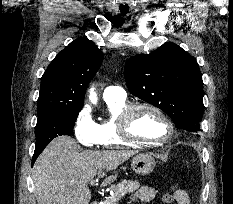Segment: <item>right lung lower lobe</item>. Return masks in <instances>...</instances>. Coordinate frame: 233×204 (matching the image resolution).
Returning <instances> with one entry per match:
<instances>
[{
  "label": "right lung lower lobe",
  "mask_w": 233,
  "mask_h": 204,
  "mask_svg": "<svg viewBox=\"0 0 233 204\" xmlns=\"http://www.w3.org/2000/svg\"><path fill=\"white\" fill-rule=\"evenodd\" d=\"M46 146H47V144L46 145H37L35 147V152H34L33 159H32V165L35 162V160L37 159V157L39 156V154L44 150V148Z\"/></svg>",
  "instance_id": "right-lung-lower-lobe-1"
}]
</instances>
